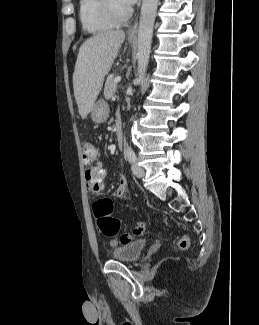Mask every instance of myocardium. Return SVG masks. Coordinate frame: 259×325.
<instances>
[{"label": "myocardium", "instance_id": "obj_1", "mask_svg": "<svg viewBox=\"0 0 259 325\" xmlns=\"http://www.w3.org/2000/svg\"><path fill=\"white\" fill-rule=\"evenodd\" d=\"M100 1V9L103 16L115 24L127 20L132 13V9L128 6L122 11L119 10L113 0Z\"/></svg>", "mask_w": 259, "mask_h": 325}]
</instances>
